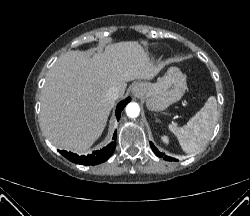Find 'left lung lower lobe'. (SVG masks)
I'll use <instances>...</instances> for the list:
<instances>
[{"mask_svg":"<svg viewBox=\"0 0 250 216\" xmlns=\"http://www.w3.org/2000/svg\"><path fill=\"white\" fill-rule=\"evenodd\" d=\"M150 146H151L152 150L155 152V154H156L157 156H159V157H162V156H163V154H161V153L157 150V148L153 145L152 142H150ZM164 159H165V160H168V161H172V160L176 161V159L171 158V157H168V156H165Z\"/></svg>","mask_w":250,"mask_h":216,"instance_id":"obj_1","label":"left lung lower lobe"}]
</instances>
